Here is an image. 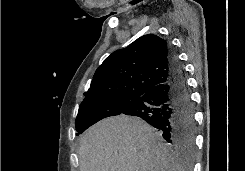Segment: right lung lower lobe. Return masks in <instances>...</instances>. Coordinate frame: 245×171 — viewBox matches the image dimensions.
<instances>
[{
  "instance_id": "1",
  "label": "right lung lower lobe",
  "mask_w": 245,
  "mask_h": 171,
  "mask_svg": "<svg viewBox=\"0 0 245 171\" xmlns=\"http://www.w3.org/2000/svg\"><path fill=\"white\" fill-rule=\"evenodd\" d=\"M169 78L129 103L121 114L137 116L158 129L163 138L179 153H194L195 120L182 65L169 48Z\"/></svg>"
}]
</instances>
